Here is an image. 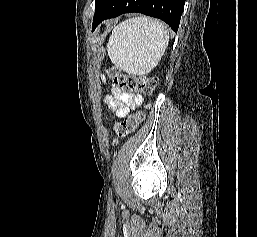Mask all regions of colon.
Wrapping results in <instances>:
<instances>
[{"mask_svg":"<svg viewBox=\"0 0 257 237\" xmlns=\"http://www.w3.org/2000/svg\"><path fill=\"white\" fill-rule=\"evenodd\" d=\"M109 76L120 90L131 93L138 92L143 94H151L158 87V79L149 75H129L121 72L117 68L109 70ZM144 119V113L138 112L135 115L127 117L125 120L115 124L114 130L118 137H125L133 132L141 121ZM113 143H116L114 141Z\"/></svg>","mask_w":257,"mask_h":237,"instance_id":"5ec220e1","label":"colon"}]
</instances>
